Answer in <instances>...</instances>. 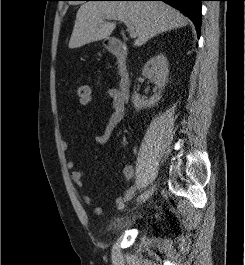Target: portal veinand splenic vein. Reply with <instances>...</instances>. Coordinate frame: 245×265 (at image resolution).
Segmentation results:
<instances>
[{"label":"portal vein and splenic vein","instance_id":"portal-vein-and-splenic-vein-1","mask_svg":"<svg viewBox=\"0 0 245 265\" xmlns=\"http://www.w3.org/2000/svg\"><path fill=\"white\" fill-rule=\"evenodd\" d=\"M106 19H108V20H118V21L123 22L126 25V27H127V31L129 32L130 37L131 38H136L137 37V33L135 32L134 25L129 19H127V18H125L123 16H117V15L107 16Z\"/></svg>","mask_w":245,"mask_h":265}]
</instances>
